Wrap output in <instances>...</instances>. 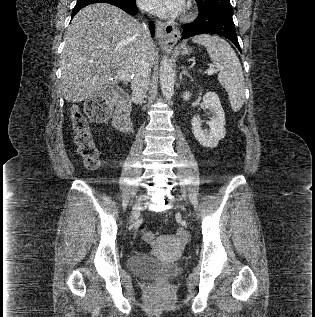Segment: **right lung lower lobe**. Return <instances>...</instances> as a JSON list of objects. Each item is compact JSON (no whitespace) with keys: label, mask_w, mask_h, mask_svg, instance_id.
Wrapping results in <instances>:
<instances>
[{"label":"right lung lower lobe","mask_w":315,"mask_h":317,"mask_svg":"<svg viewBox=\"0 0 315 317\" xmlns=\"http://www.w3.org/2000/svg\"><path fill=\"white\" fill-rule=\"evenodd\" d=\"M102 2L115 5L130 15H135L138 11L135 5V0H77L76 6L74 7L72 11V17H74V15L83 7L93 3H102ZM149 27H150L151 35L153 36L155 31L154 23L151 22Z\"/></svg>","instance_id":"98d812e1"}]
</instances>
